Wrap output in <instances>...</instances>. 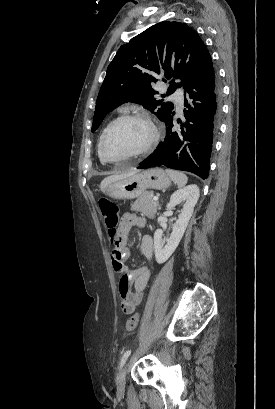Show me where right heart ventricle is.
<instances>
[{
  "label": "right heart ventricle",
  "mask_w": 275,
  "mask_h": 409,
  "mask_svg": "<svg viewBox=\"0 0 275 409\" xmlns=\"http://www.w3.org/2000/svg\"><path fill=\"white\" fill-rule=\"evenodd\" d=\"M107 127H108V125L104 128V130L102 131V133H101V135H100V137H99L98 149H99V145H100L101 139H102V137H103V135H104V132H105V130L107 129Z\"/></svg>",
  "instance_id": "e07e8e85"
}]
</instances>
